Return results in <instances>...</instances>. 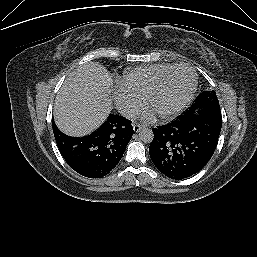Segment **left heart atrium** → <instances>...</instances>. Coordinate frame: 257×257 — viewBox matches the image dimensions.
Here are the masks:
<instances>
[{
    "label": "left heart atrium",
    "mask_w": 257,
    "mask_h": 257,
    "mask_svg": "<svg viewBox=\"0 0 257 257\" xmlns=\"http://www.w3.org/2000/svg\"><path fill=\"white\" fill-rule=\"evenodd\" d=\"M151 117H152L151 113H148V114L146 115V118H147V119H151Z\"/></svg>",
    "instance_id": "left-heart-atrium-1"
}]
</instances>
